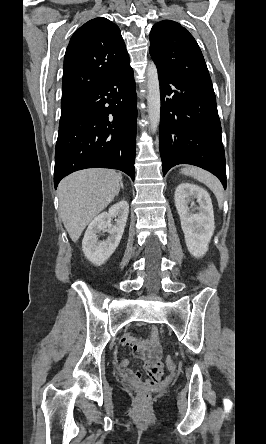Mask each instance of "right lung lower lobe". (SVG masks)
<instances>
[{
    "instance_id": "98d812e1",
    "label": "right lung lower lobe",
    "mask_w": 266,
    "mask_h": 444,
    "mask_svg": "<svg viewBox=\"0 0 266 444\" xmlns=\"http://www.w3.org/2000/svg\"><path fill=\"white\" fill-rule=\"evenodd\" d=\"M137 95L130 60L105 82L61 110L54 185L86 168H112L135 176Z\"/></svg>"
}]
</instances>
